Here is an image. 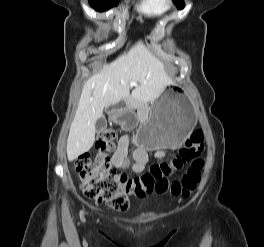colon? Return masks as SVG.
I'll list each match as a JSON object with an SVG mask.
<instances>
[{
	"label": "colon",
	"mask_w": 264,
	"mask_h": 247,
	"mask_svg": "<svg viewBox=\"0 0 264 247\" xmlns=\"http://www.w3.org/2000/svg\"><path fill=\"white\" fill-rule=\"evenodd\" d=\"M116 132L106 126L98 133L97 155L91 159L87 154L76 162V172L83 194L89 199L105 203L116 211L128 210L132 198L142 199L151 193L170 192L174 196H190L201 180L204 160V135L195 131L178 152L166 162L154 164L138 178L127 175L110 164L109 154L114 150ZM191 163L180 180L169 181V177Z\"/></svg>",
	"instance_id": "1"
}]
</instances>
